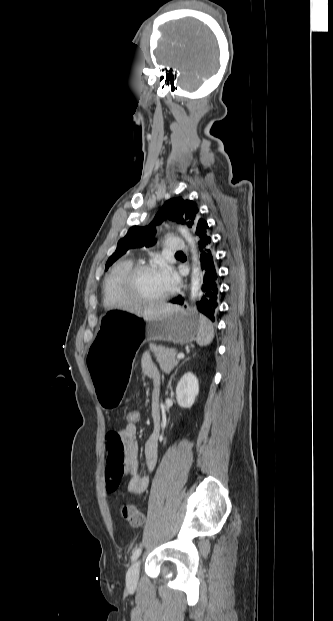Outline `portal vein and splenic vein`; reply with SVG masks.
I'll use <instances>...</instances> for the list:
<instances>
[{
  "mask_svg": "<svg viewBox=\"0 0 333 621\" xmlns=\"http://www.w3.org/2000/svg\"><path fill=\"white\" fill-rule=\"evenodd\" d=\"M176 358H177V359H182V358H184V354H183V353H180V354H178V355L176 356Z\"/></svg>",
  "mask_w": 333,
  "mask_h": 621,
  "instance_id": "18ae733b",
  "label": "portal vein and splenic vein"
}]
</instances>
